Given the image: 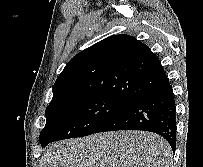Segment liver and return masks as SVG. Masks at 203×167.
I'll use <instances>...</instances> for the list:
<instances>
[{"label": "liver", "mask_w": 203, "mask_h": 167, "mask_svg": "<svg viewBox=\"0 0 203 167\" xmlns=\"http://www.w3.org/2000/svg\"><path fill=\"white\" fill-rule=\"evenodd\" d=\"M172 149L161 136L117 131L57 142L40 167H171Z\"/></svg>", "instance_id": "6515ba94"}]
</instances>
